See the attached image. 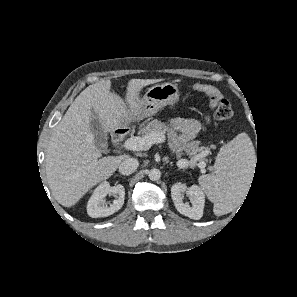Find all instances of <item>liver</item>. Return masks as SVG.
Here are the masks:
<instances>
[{"instance_id":"1","label":"liver","mask_w":297,"mask_h":297,"mask_svg":"<svg viewBox=\"0 0 297 297\" xmlns=\"http://www.w3.org/2000/svg\"><path fill=\"white\" fill-rule=\"evenodd\" d=\"M159 79H131L126 104L114 92L111 81L89 85L70 105L54 128L46 154V174L53 197L64 207L75 205L92 187L109 178L127 155L102 157L94 143L93 113L105 133L118 129L139 114V92Z\"/></svg>"}]
</instances>
